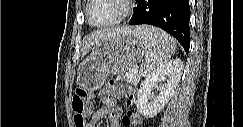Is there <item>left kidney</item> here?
Returning a JSON list of instances; mask_svg holds the SVG:
<instances>
[{"instance_id":"1","label":"left kidney","mask_w":243,"mask_h":127,"mask_svg":"<svg viewBox=\"0 0 243 127\" xmlns=\"http://www.w3.org/2000/svg\"><path fill=\"white\" fill-rule=\"evenodd\" d=\"M182 70L183 62L175 59L143 81L138 90L136 105L144 117L153 118L165 107L181 79Z\"/></svg>"}]
</instances>
